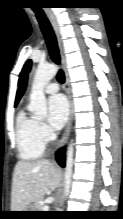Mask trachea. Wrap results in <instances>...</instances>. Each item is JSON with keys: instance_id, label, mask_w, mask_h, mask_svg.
Returning a JSON list of instances; mask_svg holds the SVG:
<instances>
[{"instance_id": "trachea-1", "label": "trachea", "mask_w": 123, "mask_h": 219, "mask_svg": "<svg viewBox=\"0 0 123 219\" xmlns=\"http://www.w3.org/2000/svg\"><path fill=\"white\" fill-rule=\"evenodd\" d=\"M35 13H36L37 20L40 24L41 30L43 32L44 38L46 40L50 56L56 64H59L60 55H59L56 36L52 29V26L43 11H36ZM57 80L60 83H64L65 76L62 70H59L57 74Z\"/></svg>"}]
</instances>
